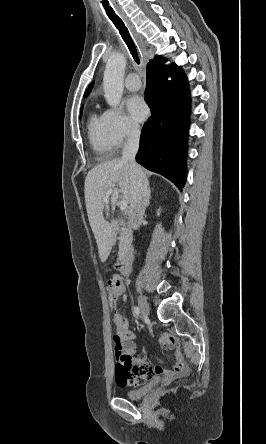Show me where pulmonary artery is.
I'll list each match as a JSON object with an SVG mask.
<instances>
[{"mask_svg":"<svg viewBox=\"0 0 266 444\" xmlns=\"http://www.w3.org/2000/svg\"><path fill=\"white\" fill-rule=\"evenodd\" d=\"M125 86L131 91H137L141 88V81L136 73H130L125 78Z\"/></svg>","mask_w":266,"mask_h":444,"instance_id":"e3ab8cb5","label":"pulmonary artery"}]
</instances>
